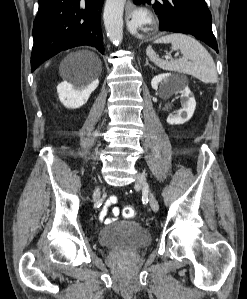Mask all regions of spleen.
Segmentation results:
<instances>
[{"label":"spleen","mask_w":247,"mask_h":299,"mask_svg":"<svg viewBox=\"0 0 247 299\" xmlns=\"http://www.w3.org/2000/svg\"><path fill=\"white\" fill-rule=\"evenodd\" d=\"M156 43H170L172 50H180L182 58L163 60L149 45L146 55L158 67L196 77L204 83H215L217 71L214 60L207 49L191 36L175 33L158 38Z\"/></svg>","instance_id":"spleen-1"}]
</instances>
